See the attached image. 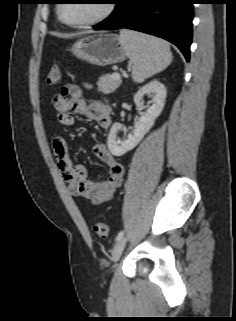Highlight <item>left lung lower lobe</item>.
<instances>
[{
	"instance_id": "1",
	"label": "left lung lower lobe",
	"mask_w": 236,
	"mask_h": 321,
	"mask_svg": "<svg viewBox=\"0 0 236 321\" xmlns=\"http://www.w3.org/2000/svg\"><path fill=\"white\" fill-rule=\"evenodd\" d=\"M195 0H115L111 16L95 30L127 28L155 35L176 45L189 61Z\"/></svg>"
}]
</instances>
